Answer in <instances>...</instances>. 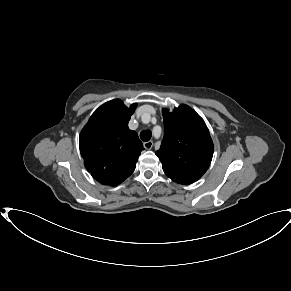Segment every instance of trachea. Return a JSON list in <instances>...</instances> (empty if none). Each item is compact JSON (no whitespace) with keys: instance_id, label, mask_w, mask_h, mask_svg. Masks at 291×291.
Wrapping results in <instances>:
<instances>
[{"instance_id":"3493384b","label":"trachea","mask_w":291,"mask_h":291,"mask_svg":"<svg viewBox=\"0 0 291 291\" xmlns=\"http://www.w3.org/2000/svg\"><path fill=\"white\" fill-rule=\"evenodd\" d=\"M152 133L150 130H144L140 133V138L142 141L147 142L151 139Z\"/></svg>"}]
</instances>
